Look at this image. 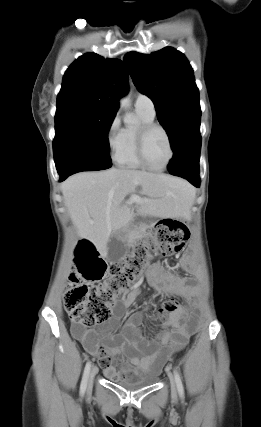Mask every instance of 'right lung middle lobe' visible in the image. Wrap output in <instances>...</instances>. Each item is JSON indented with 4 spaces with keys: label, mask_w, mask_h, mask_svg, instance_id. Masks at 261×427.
Instances as JSON below:
<instances>
[{
    "label": "right lung middle lobe",
    "mask_w": 261,
    "mask_h": 427,
    "mask_svg": "<svg viewBox=\"0 0 261 427\" xmlns=\"http://www.w3.org/2000/svg\"><path fill=\"white\" fill-rule=\"evenodd\" d=\"M115 115L84 107L57 110L53 141L56 167L67 163L111 166L108 131Z\"/></svg>",
    "instance_id": "1"
}]
</instances>
